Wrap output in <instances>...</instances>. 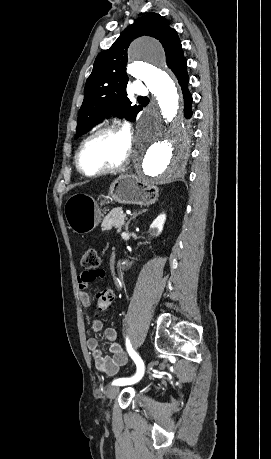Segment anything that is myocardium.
I'll return each mask as SVG.
<instances>
[{"label":"myocardium","mask_w":271,"mask_h":459,"mask_svg":"<svg viewBox=\"0 0 271 459\" xmlns=\"http://www.w3.org/2000/svg\"><path fill=\"white\" fill-rule=\"evenodd\" d=\"M107 131H112V132H118V133H124L125 134L123 126L117 121H113V122L107 123L105 125H102V126L96 128V129H94L90 133H88L83 138V140L80 142V144H79V146H78V148L76 150L75 157H74L75 166H76L77 170L82 175H84L86 177H94V176H97V175H100V174H104V173L120 170L121 168L125 167L129 163V160H130V158L132 156V152H133L132 144H130V148H129L128 152L125 154V156L121 160L116 162V163L109 164V165H104V166H101V167H99L97 169H94V170H91V171L86 170L82 166L81 153H82L84 145L87 143V141L89 139H91L95 135H98L100 133L107 132Z\"/></svg>","instance_id":"1"}]
</instances>
